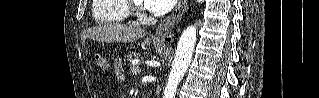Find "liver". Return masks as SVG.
Wrapping results in <instances>:
<instances>
[{"mask_svg": "<svg viewBox=\"0 0 319 98\" xmlns=\"http://www.w3.org/2000/svg\"><path fill=\"white\" fill-rule=\"evenodd\" d=\"M83 35L99 42H133L145 37L146 31L133 26L104 24L85 30Z\"/></svg>", "mask_w": 319, "mask_h": 98, "instance_id": "liver-1", "label": "liver"}]
</instances>
